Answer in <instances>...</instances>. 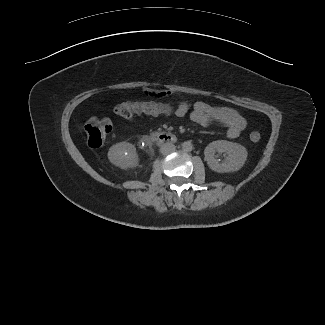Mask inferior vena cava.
Wrapping results in <instances>:
<instances>
[{"label":"inferior vena cava","mask_w":325,"mask_h":325,"mask_svg":"<svg viewBox=\"0 0 325 325\" xmlns=\"http://www.w3.org/2000/svg\"><path fill=\"white\" fill-rule=\"evenodd\" d=\"M161 153L164 155H168L170 153H173L176 150V147L174 144L166 143L161 146Z\"/></svg>","instance_id":"602c4592"}]
</instances>
